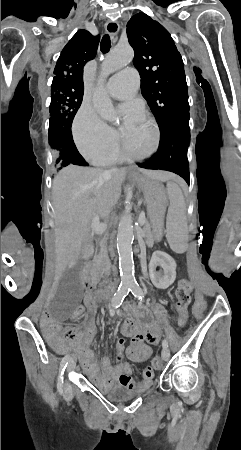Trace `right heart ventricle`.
I'll return each instance as SVG.
<instances>
[{
    "mask_svg": "<svg viewBox=\"0 0 241 450\" xmlns=\"http://www.w3.org/2000/svg\"><path fill=\"white\" fill-rule=\"evenodd\" d=\"M112 145H114L115 150L111 155H109L107 158H105L103 160L92 161V162L95 164H98V165H111V164H116L119 161H121L123 159V157L119 156L120 152L117 151V146L115 144H112Z\"/></svg>",
    "mask_w": 241,
    "mask_h": 450,
    "instance_id": "1",
    "label": "right heart ventricle"
}]
</instances>
